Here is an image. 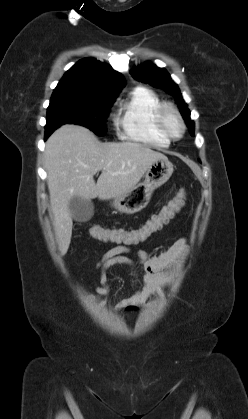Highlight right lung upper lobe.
<instances>
[{
    "label": "right lung upper lobe",
    "instance_id": "1",
    "mask_svg": "<svg viewBox=\"0 0 248 419\" xmlns=\"http://www.w3.org/2000/svg\"><path fill=\"white\" fill-rule=\"evenodd\" d=\"M126 81L110 65L94 58H84L70 68L55 90L73 91L95 96H117Z\"/></svg>",
    "mask_w": 248,
    "mask_h": 419
}]
</instances>
